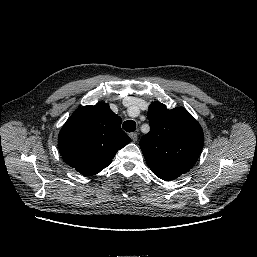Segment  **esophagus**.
I'll use <instances>...</instances> for the list:
<instances>
[{
  "label": "esophagus",
  "instance_id": "obj_1",
  "mask_svg": "<svg viewBox=\"0 0 257 257\" xmlns=\"http://www.w3.org/2000/svg\"><path fill=\"white\" fill-rule=\"evenodd\" d=\"M129 136L132 139V141H134V142H136L138 139V134L136 132L130 133Z\"/></svg>",
  "mask_w": 257,
  "mask_h": 257
}]
</instances>
